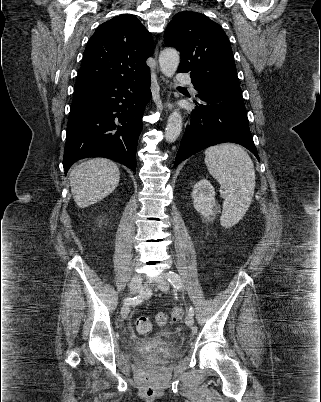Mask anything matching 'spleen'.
Segmentation results:
<instances>
[{"mask_svg": "<svg viewBox=\"0 0 321 402\" xmlns=\"http://www.w3.org/2000/svg\"><path fill=\"white\" fill-rule=\"evenodd\" d=\"M205 164L220 184L224 199L221 223L238 222L251 204L255 190V169L248 153L235 144H221L205 150Z\"/></svg>", "mask_w": 321, "mask_h": 402, "instance_id": "1", "label": "spleen"}]
</instances>
